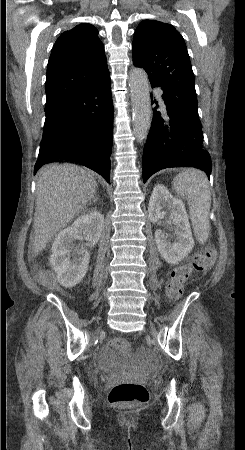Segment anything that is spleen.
<instances>
[{
	"label": "spleen",
	"mask_w": 245,
	"mask_h": 450,
	"mask_svg": "<svg viewBox=\"0 0 245 450\" xmlns=\"http://www.w3.org/2000/svg\"><path fill=\"white\" fill-rule=\"evenodd\" d=\"M173 187L177 195L188 202L195 236L200 243H205L210 231L211 205V193L206 175L197 169L183 171L174 178Z\"/></svg>",
	"instance_id": "obj_1"
}]
</instances>
